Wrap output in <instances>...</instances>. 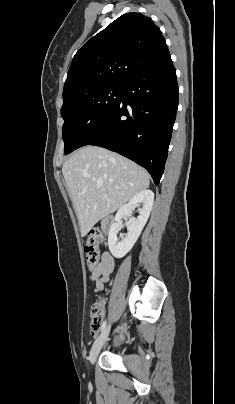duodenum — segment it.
I'll list each match as a JSON object with an SVG mask.
<instances>
[{"label":"duodenum","instance_id":"obj_1","mask_svg":"<svg viewBox=\"0 0 235 404\" xmlns=\"http://www.w3.org/2000/svg\"><path fill=\"white\" fill-rule=\"evenodd\" d=\"M113 225V219L106 217L102 220V228L104 231H109Z\"/></svg>","mask_w":235,"mask_h":404}]
</instances>
